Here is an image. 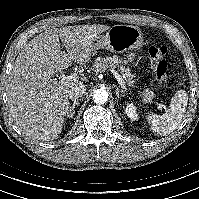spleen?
I'll return each mask as SVG.
<instances>
[{"mask_svg": "<svg viewBox=\"0 0 199 199\" xmlns=\"http://www.w3.org/2000/svg\"><path fill=\"white\" fill-rule=\"evenodd\" d=\"M188 96L180 90L171 99L170 108L162 115L148 113L145 117L150 124L152 132L166 136L176 130L186 112Z\"/></svg>", "mask_w": 199, "mask_h": 199, "instance_id": "obj_1", "label": "spleen"}]
</instances>
